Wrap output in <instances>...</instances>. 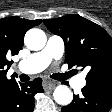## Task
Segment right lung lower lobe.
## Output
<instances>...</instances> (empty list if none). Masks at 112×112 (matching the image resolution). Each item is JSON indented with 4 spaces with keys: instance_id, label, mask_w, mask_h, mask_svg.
<instances>
[{
    "instance_id": "1",
    "label": "right lung lower lobe",
    "mask_w": 112,
    "mask_h": 112,
    "mask_svg": "<svg viewBox=\"0 0 112 112\" xmlns=\"http://www.w3.org/2000/svg\"><path fill=\"white\" fill-rule=\"evenodd\" d=\"M44 92L42 79L28 83H12L0 98V112H33L34 96Z\"/></svg>"
}]
</instances>
